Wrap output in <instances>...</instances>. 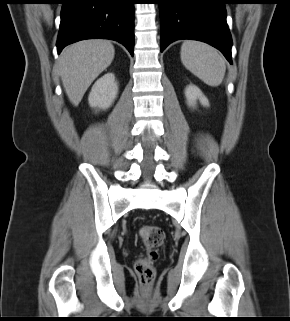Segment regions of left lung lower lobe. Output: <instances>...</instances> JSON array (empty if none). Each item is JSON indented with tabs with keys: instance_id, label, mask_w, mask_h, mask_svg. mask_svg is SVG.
<instances>
[{
	"instance_id": "obj_1",
	"label": "left lung lower lobe",
	"mask_w": 290,
	"mask_h": 321,
	"mask_svg": "<svg viewBox=\"0 0 290 321\" xmlns=\"http://www.w3.org/2000/svg\"><path fill=\"white\" fill-rule=\"evenodd\" d=\"M227 3L228 0H160L161 52L176 40H199L219 49L232 64Z\"/></svg>"
}]
</instances>
